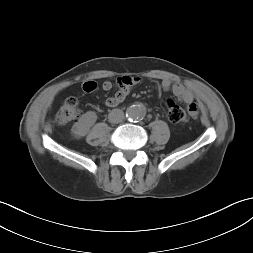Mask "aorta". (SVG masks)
<instances>
[{
	"instance_id": "1",
	"label": "aorta",
	"mask_w": 253,
	"mask_h": 253,
	"mask_svg": "<svg viewBox=\"0 0 253 253\" xmlns=\"http://www.w3.org/2000/svg\"><path fill=\"white\" fill-rule=\"evenodd\" d=\"M126 115L130 120H141L145 117L146 110L143 106L132 105L127 109Z\"/></svg>"
}]
</instances>
